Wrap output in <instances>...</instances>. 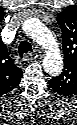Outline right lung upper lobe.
Segmentation results:
<instances>
[{"label": "right lung upper lobe", "instance_id": "cb5924a9", "mask_svg": "<svg viewBox=\"0 0 77 125\" xmlns=\"http://www.w3.org/2000/svg\"><path fill=\"white\" fill-rule=\"evenodd\" d=\"M21 73H22L21 69L16 67L12 63V61H11V63H8L6 73H5V76H6V79L8 80V82L12 81V82L16 83L17 79L20 77Z\"/></svg>", "mask_w": 77, "mask_h": 125}]
</instances>
